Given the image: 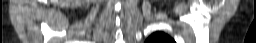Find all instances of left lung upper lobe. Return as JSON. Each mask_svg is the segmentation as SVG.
Listing matches in <instances>:
<instances>
[{"instance_id": "1", "label": "left lung upper lobe", "mask_w": 256, "mask_h": 43, "mask_svg": "<svg viewBox=\"0 0 256 43\" xmlns=\"http://www.w3.org/2000/svg\"><path fill=\"white\" fill-rule=\"evenodd\" d=\"M145 43H175L174 40L163 32L153 33Z\"/></svg>"}]
</instances>
